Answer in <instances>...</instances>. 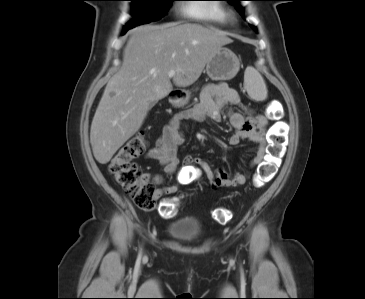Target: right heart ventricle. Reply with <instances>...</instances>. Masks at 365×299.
<instances>
[{
  "mask_svg": "<svg viewBox=\"0 0 365 299\" xmlns=\"http://www.w3.org/2000/svg\"><path fill=\"white\" fill-rule=\"evenodd\" d=\"M203 3L189 4L184 12L192 20L213 25H225L229 14L226 7L216 0H197Z\"/></svg>",
  "mask_w": 365,
  "mask_h": 299,
  "instance_id": "1",
  "label": "right heart ventricle"
}]
</instances>
